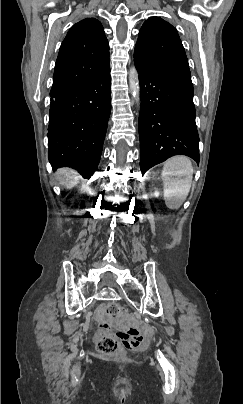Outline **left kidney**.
<instances>
[{
  "instance_id": "left-kidney-1",
  "label": "left kidney",
  "mask_w": 243,
  "mask_h": 404,
  "mask_svg": "<svg viewBox=\"0 0 243 404\" xmlns=\"http://www.w3.org/2000/svg\"><path fill=\"white\" fill-rule=\"evenodd\" d=\"M154 196H155V198H158L159 192H154Z\"/></svg>"
}]
</instances>
